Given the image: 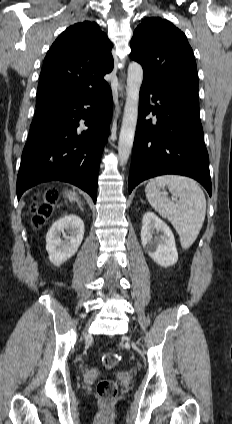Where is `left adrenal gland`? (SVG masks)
I'll list each match as a JSON object with an SVG mask.
<instances>
[{
    "label": "left adrenal gland",
    "mask_w": 232,
    "mask_h": 424,
    "mask_svg": "<svg viewBox=\"0 0 232 424\" xmlns=\"http://www.w3.org/2000/svg\"><path fill=\"white\" fill-rule=\"evenodd\" d=\"M141 203H144V201H143V200H141Z\"/></svg>",
    "instance_id": "a2214340"
}]
</instances>
